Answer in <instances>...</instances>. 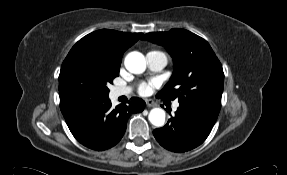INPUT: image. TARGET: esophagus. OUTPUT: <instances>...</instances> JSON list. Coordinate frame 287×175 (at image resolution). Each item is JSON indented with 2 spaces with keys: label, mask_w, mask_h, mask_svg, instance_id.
<instances>
[{
  "label": "esophagus",
  "mask_w": 287,
  "mask_h": 175,
  "mask_svg": "<svg viewBox=\"0 0 287 175\" xmlns=\"http://www.w3.org/2000/svg\"><path fill=\"white\" fill-rule=\"evenodd\" d=\"M145 102H146V105L148 107H155L156 106V104L150 99H147Z\"/></svg>",
  "instance_id": "1"
}]
</instances>
